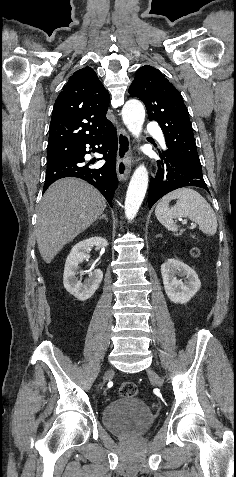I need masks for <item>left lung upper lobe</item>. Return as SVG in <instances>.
<instances>
[{
    "label": "left lung upper lobe",
    "mask_w": 236,
    "mask_h": 477,
    "mask_svg": "<svg viewBox=\"0 0 236 477\" xmlns=\"http://www.w3.org/2000/svg\"><path fill=\"white\" fill-rule=\"evenodd\" d=\"M129 94L144 102L149 120L159 123L167 146L163 153L186 159L202 170L188 110L179 91L165 76L145 65L138 69Z\"/></svg>",
    "instance_id": "1"
}]
</instances>
